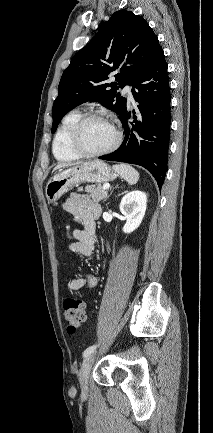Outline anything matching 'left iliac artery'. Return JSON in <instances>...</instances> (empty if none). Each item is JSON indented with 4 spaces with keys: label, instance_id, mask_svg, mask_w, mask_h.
Returning a JSON list of instances; mask_svg holds the SVG:
<instances>
[{
    "label": "left iliac artery",
    "instance_id": "left-iliac-artery-1",
    "mask_svg": "<svg viewBox=\"0 0 213 433\" xmlns=\"http://www.w3.org/2000/svg\"><path fill=\"white\" fill-rule=\"evenodd\" d=\"M97 348V345H92L90 347H88L84 352H83V357H87L88 355H90L91 353L94 352V350Z\"/></svg>",
    "mask_w": 213,
    "mask_h": 433
}]
</instances>
